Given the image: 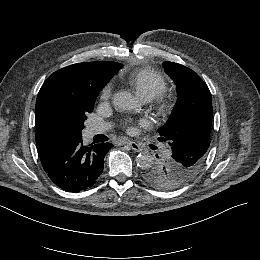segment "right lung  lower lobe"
Returning <instances> with one entry per match:
<instances>
[{"label":"right lung lower lobe","mask_w":260,"mask_h":260,"mask_svg":"<svg viewBox=\"0 0 260 260\" xmlns=\"http://www.w3.org/2000/svg\"><path fill=\"white\" fill-rule=\"evenodd\" d=\"M111 143L84 146L82 136L63 145L41 162L49 178L61 189L77 193L92 187L103 172L104 157Z\"/></svg>","instance_id":"obj_1"}]
</instances>
